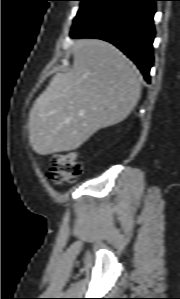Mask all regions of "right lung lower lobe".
Segmentation results:
<instances>
[{
	"label": "right lung lower lobe",
	"mask_w": 180,
	"mask_h": 299,
	"mask_svg": "<svg viewBox=\"0 0 180 299\" xmlns=\"http://www.w3.org/2000/svg\"><path fill=\"white\" fill-rule=\"evenodd\" d=\"M157 0H105L72 27V38H98L117 46L149 82Z\"/></svg>",
	"instance_id": "right-lung-lower-lobe-1"
}]
</instances>
